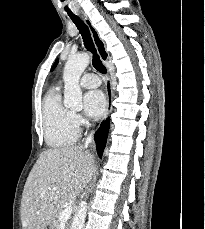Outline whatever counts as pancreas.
Segmentation results:
<instances>
[{
	"label": "pancreas",
	"instance_id": "pancreas-1",
	"mask_svg": "<svg viewBox=\"0 0 205 229\" xmlns=\"http://www.w3.org/2000/svg\"><path fill=\"white\" fill-rule=\"evenodd\" d=\"M63 211L62 208H59L56 213L54 214V220L52 222V225H51V229H59V215L60 213ZM66 229H69L68 227Z\"/></svg>",
	"mask_w": 205,
	"mask_h": 229
}]
</instances>
